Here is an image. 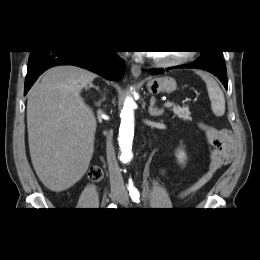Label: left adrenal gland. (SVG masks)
Here are the masks:
<instances>
[{"label": "left adrenal gland", "instance_id": "obj_1", "mask_svg": "<svg viewBox=\"0 0 260 260\" xmlns=\"http://www.w3.org/2000/svg\"><path fill=\"white\" fill-rule=\"evenodd\" d=\"M155 105V97H151L150 99V105L148 108L149 114L153 117L161 116L164 112L163 109H158L157 107H154Z\"/></svg>", "mask_w": 260, "mask_h": 260}]
</instances>
